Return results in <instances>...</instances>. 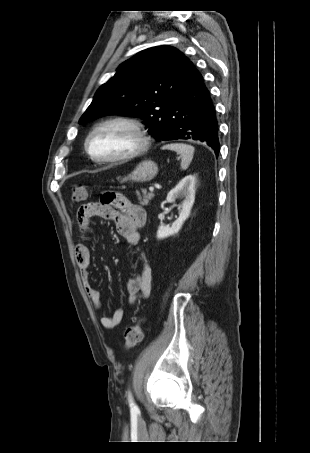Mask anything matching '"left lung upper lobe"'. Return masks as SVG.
I'll return each mask as SVG.
<instances>
[{"instance_id":"5c2ea615","label":"left lung upper lobe","mask_w":310,"mask_h":453,"mask_svg":"<svg viewBox=\"0 0 310 453\" xmlns=\"http://www.w3.org/2000/svg\"><path fill=\"white\" fill-rule=\"evenodd\" d=\"M191 61L170 46L143 50L123 62L96 92L80 124L108 114L140 117L160 140L169 111L187 80Z\"/></svg>"}]
</instances>
